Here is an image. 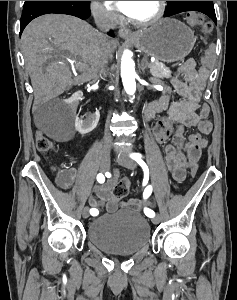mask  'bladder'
I'll list each match as a JSON object with an SVG mask.
<instances>
[{
  "label": "bladder",
  "instance_id": "1",
  "mask_svg": "<svg viewBox=\"0 0 237 300\" xmlns=\"http://www.w3.org/2000/svg\"><path fill=\"white\" fill-rule=\"evenodd\" d=\"M86 236L103 252L131 255L148 245L151 228L141 213L123 209L118 215H104L92 220Z\"/></svg>",
  "mask_w": 237,
  "mask_h": 300
}]
</instances>
